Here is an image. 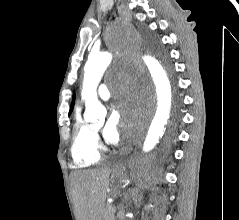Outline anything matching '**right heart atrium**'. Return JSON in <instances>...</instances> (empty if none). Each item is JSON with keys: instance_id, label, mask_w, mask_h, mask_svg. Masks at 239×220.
Here are the masks:
<instances>
[{"instance_id": "d8ad5b80", "label": "right heart atrium", "mask_w": 239, "mask_h": 220, "mask_svg": "<svg viewBox=\"0 0 239 220\" xmlns=\"http://www.w3.org/2000/svg\"><path fill=\"white\" fill-rule=\"evenodd\" d=\"M95 140H96V142H98V137L95 135Z\"/></svg>"}]
</instances>
